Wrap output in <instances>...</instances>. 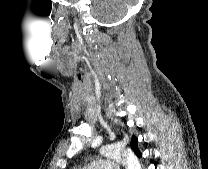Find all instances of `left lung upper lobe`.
<instances>
[{"label": "left lung upper lobe", "instance_id": "left-lung-upper-lobe-1", "mask_svg": "<svg viewBox=\"0 0 208 169\" xmlns=\"http://www.w3.org/2000/svg\"><path fill=\"white\" fill-rule=\"evenodd\" d=\"M131 148L133 149V151L137 154L138 152H140L138 150V139L137 137L133 136L132 137V141H131V144H130Z\"/></svg>", "mask_w": 208, "mask_h": 169}]
</instances>
